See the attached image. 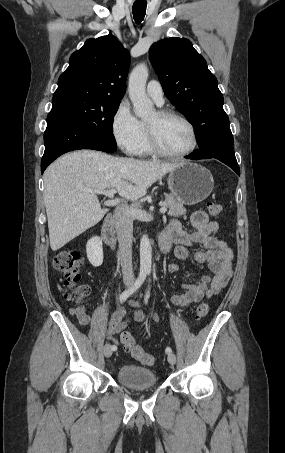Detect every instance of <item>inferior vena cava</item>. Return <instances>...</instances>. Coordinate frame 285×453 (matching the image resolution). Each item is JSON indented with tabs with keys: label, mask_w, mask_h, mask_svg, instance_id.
Wrapping results in <instances>:
<instances>
[{
	"label": "inferior vena cava",
	"mask_w": 285,
	"mask_h": 453,
	"mask_svg": "<svg viewBox=\"0 0 285 453\" xmlns=\"http://www.w3.org/2000/svg\"><path fill=\"white\" fill-rule=\"evenodd\" d=\"M113 218L119 243L123 281L134 283L135 277L132 266L133 216L131 209L126 205L118 206L114 211Z\"/></svg>",
	"instance_id": "1"
}]
</instances>
